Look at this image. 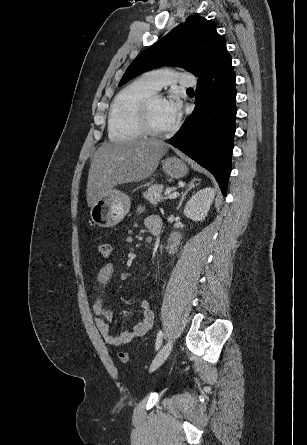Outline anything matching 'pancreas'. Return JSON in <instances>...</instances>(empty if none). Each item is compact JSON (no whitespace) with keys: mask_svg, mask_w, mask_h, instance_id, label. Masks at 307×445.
I'll use <instances>...</instances> for the list:
<instances>
[{"mask_svg":"<svg viewBox=\"0 0 307 445\" xmlns=\"http://www.w3.org/2000/svg\"><path fill=\"white\" fill-rule=\"evenodd\" d=\"M164 186L163 184H152V186H149L145 192H143L144 198H147L151 204H157V202H160L162 198L160 196H157V194H160L162 192ZM172 190H176V186H172Z\"/></svg>","mask_w":307,"mask_h":445,"instance_id":"obj_1","label":"pancreas"}]
</instances>
